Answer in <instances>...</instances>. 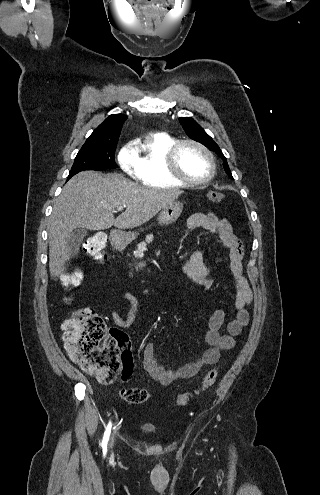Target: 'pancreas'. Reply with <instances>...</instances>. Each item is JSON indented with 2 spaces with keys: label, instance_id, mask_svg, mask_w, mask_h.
Listing matches in <instances>:
<instances>
[{
  "label": "pancreas",
  "instance_id": "obj_1",
  "mask_svg": "<svg viewBox=\"0 0 320 495\" xmlns=\"http://www.w3.org/2000/svg\"><path fill=\"white\" fill-rule=\"evenodd\" d=\"M153 239H154V238H153V235H152V234L147 235V236H146V239H145V242H141V243H139V244H138V248H137V250H135V251H134V256H135L136 258H140V257H142V256H143L144 251L146 250L147 244H148V243H151V242L153 241Z\"/></svg>",
  "mask_w": 320,
  "mask_h": 495
}]
</instances>
